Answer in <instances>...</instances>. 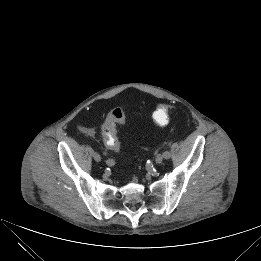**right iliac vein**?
Returning a JSON list of instances; mask_svg holds the SVG:
<instances>
[{
    "mask_svg": "<svg viewBox=\"0 0 261 261\" xmlns=\"http://www.w3.org/2000/svg\"><path fill=\"white\" fill-rule=\"evenodd\" d=\"M92 157H93V160L97 163H100L102 161L101 156L96 152L92 153Z\"/></svg>",
    "mask_w": 261,
    "mask_h": 261,
    "instance_id": "1",
    "label": "right iliac vein"
}]
</instances>
